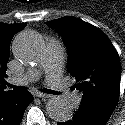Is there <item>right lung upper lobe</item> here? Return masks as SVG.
<instances>
[{"mask_svg": "<svg viewBox=\"0 0 125 125\" xmlns=\"http://www.w3.org/2000/svg\"><path fill=\"white\" fill-rule=\"evenodd\" d=\"M26 23L6 24L0 22V98L14 93L13 91H4L6 87L7 62L10 56V43L13 36L25 28Z\"/></svg>", "mask_w": 125, "mask_h": 125, "instance_id": "right-lung-upper-lobe-1", "label": "right lung upper lobe"}]
</instances>
